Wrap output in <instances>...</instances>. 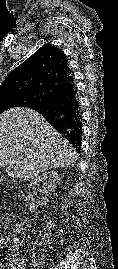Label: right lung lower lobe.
<instances>
[{"label": "right lung lower lobe", "mask_w": 118, "mask_h": 269, "mask_svg": "<svg viewBox=\"0 0 118 269\" xmlns=\"http://www.w3.org/2000/svg\"><path fill=\"white\" fill-rule=\"evenodd\" d=\"M29 108L40 113L74 147H79L77 151L80 152L82 116L74 83Z\"/></svg>", "instance_id": "obj_1"}]
</instances>
